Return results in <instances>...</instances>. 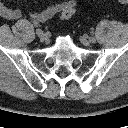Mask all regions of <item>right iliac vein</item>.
Segmentation results:
<instances>
[{
  "label": "right iliac vein",
  "instance_id": "obj_1",
  "mask_svg": "<svg viewBox=\"0 0 128 128\" xmlns=\"http://www.w3.org/2000/svg\"><path fill=\"white\" fill-rule=\"evenodd\" d=\"M36 34L40 38L41 41H44L47 39V35L41 29H37Z\"/></svg>",
  "mask_w": 128,
  "mask_h": 128
}]
</instances>
